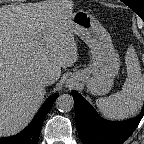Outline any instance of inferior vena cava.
Listing matches in <instances>:
<instances>
[{
    "label": "inferior vena cava",
    "mask_w": 144,
    "mask_h": 144,
    "mask_svg": "<svg viewBox=\"0 0 144 144\" xmlns=\"http://www.w3.org/2000/svg\"><path fill=\"white\" fill-rule=\"evenodd\" d=\"M55 82L54 78L52 76H44L41 81H40V84L42 86H48V85H51Z\"/></svg>",
    "instance_id": "inferior-vena-cava-1"
}]
</instances>
